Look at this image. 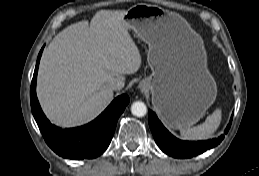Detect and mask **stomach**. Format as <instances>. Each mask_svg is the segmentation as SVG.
Segmentation results:
<instances>
[{
  "label": "stomach",
  "instance_id": "stomach-1",
  "mask_svg": "<svg viewBox=\"0 0 259 176\" xmlns=\"http://www.w3.org/2000/svg\"><path fill=\"white\" fill-rule=\"evenodd\" d=\"M123 21L148 44L152 73L140 82V88L150 90L161 119L175 129L198 122L217 96L200 37L183 18L157 5H134Z\"/></svg>",
  "mask_w": 259,
  "mask_h": 176
}]
</instances>
